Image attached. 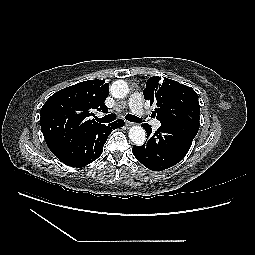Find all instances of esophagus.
<instances>
[{"mask_svg":"<svg viewBox=\"0 0 255 255\" xmlns=\"http://www.w3.org/2000/svg\"><path fill=\"white\" fill-rule=\"evenodd\" d=\"M133 124H134V123H132V122H130V121H125V125L128 126V127H129V126H132Z\"/></svg>","mask_w":255,"mask_h":255,"instance_id":"obj_1","label":"esophagus"}]
</instances>
